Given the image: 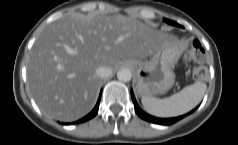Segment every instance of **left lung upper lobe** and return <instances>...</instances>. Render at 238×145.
I'll use <instances>...</instances> for the list:
<instances>
[{
	"mask_svg": "<svg viewBox=\"0 0 238 145\" xmlns=\"http://www.w3.org/2000/svg\"><path fill=\"white\" fill-rule=\"evenodd\" d=\"M165 22L171 24V25H175V26H178V24L174 21H171V20H168V19H164Z\"/></svg>",
	"mask_w": 238,
	"mask_h": 145,
	"instance_id": "obj_1",
	"label": "left lung upper lobe"
}]
</instances>
